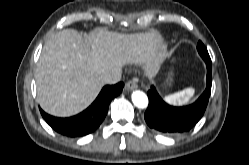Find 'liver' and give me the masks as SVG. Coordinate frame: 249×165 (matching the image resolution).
Here are the masks:
<instances>
[{"mask_svg":"<svg viewBox=\"0 0 249 165\" xmlns=\"http://www.w3.org/2000/svg\"><path fill=\"white\" fill-rule=\"evenodd\" d=\"M161 54L154 32L120 34L97 28L83 37L74 29L62 30L45 43L37 63V101L50 115H76L97 97L104 74L143 64L152 75Z\"/></svg>","mask_w":249,"mask_h":165,"instance_id":"liver-1","label":"liver"}]
</instances>
